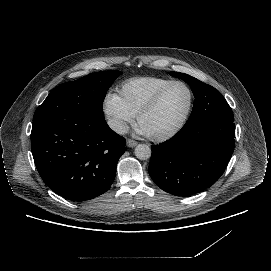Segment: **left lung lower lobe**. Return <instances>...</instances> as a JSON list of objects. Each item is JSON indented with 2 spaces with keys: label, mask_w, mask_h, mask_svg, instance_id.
Returning <instances> with one entry per match:
<instances>
[{
  "label": "left lung lower lobe",
  "mask_w": 271,
  "mask_h": 271,
  "mask_svg": "<svg viewBox=\"0 0 271 271\" xmlns=\"http://www.w3.org/2000/svg\"><path fill=\"white\" fill-rule=\"evenodd\" d=\"M234 117H203L172 139L152 146L149 174L165 192L190 196L212 186L223 174L235 146Z\"/></svg>",
  "instance_id": "1"
}]
</instances>
